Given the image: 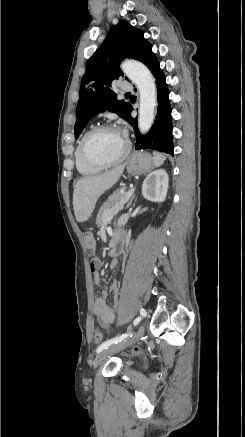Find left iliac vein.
<instances>
[{
  "label": "left iliac vein",
  "mask_w": 245,
  "mask_h": 437,
  "mask_svg": "<svg viewBox=\"0 0 245 437\" xmlns=\"http://www.w3.org/2000/svg\"><path fill=\"white\" fill-rule=\"evenodd\" d=\"M144 331H145V328L143 325H141L132 338H130L126 341H121L118 344L112 345L109 348L104 349L99 355L96 356V358L93 362V367L96 368L104 360H106L110 355H113L116 352L126 348L127 346H130V345L138 342L142 338V336L144 335Z\"/></svg>",
  "instance_id": "left-iliac-vein-1"
}]
</instances>
